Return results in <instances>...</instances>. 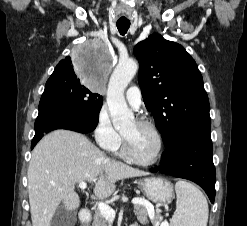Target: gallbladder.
Masks as SVG:
<instances>
[{"label":"gallbladder","mask_w":247,"mask_h":226,"mask_svg":"<svg viewBox=\"0 0 247 226\" xmlns=\"http://www.w3.org/2000/svg\"><path fill=\"white\" fill-rule=\"evenodd\" d=\"M76 220L75 211H68L64 206H60L55 211L50 226H74Z\"/></svg>","instance_id":"gallbladder-1"}]
</instances>
